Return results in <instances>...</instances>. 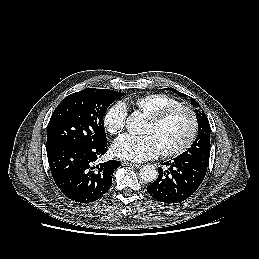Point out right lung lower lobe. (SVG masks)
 Here are the masks:
<instances>
[{"instance_id": "98d812e1", "label": "right lung lower lobe", "mask_w": 259, "mask_h": 259, "mask_svg": "<svg viewBox=\"0 0 259 259\" xmlns=\"http://www.w3.org/2000/svg\"><path fill=\"white\" fill-rule=\"evenodd\" d=\"M106 146L64 145L47 152L53 179L68 198L89 203L110 189L113 172L120 162L110 160L93 166L106 153Z\"/></svg>"}]
</instances>
